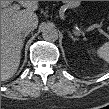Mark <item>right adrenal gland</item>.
<instances>
[{
	"instance_id": "obj_1",
	"label": "right adrenal gland",
	"mask_w": 109,
	"mask_h": 109,
	"mask_svg": "<svg viewBox=\"0 0 109 109\" xmlns=\"http://www.w3.org/2000/svg\"><path fill=\"white\" fill-rule=\"evenodd\" d=\"M26 36H27V34H24V35H23V42H24Z\"/></svg>"
}]
</instances>
